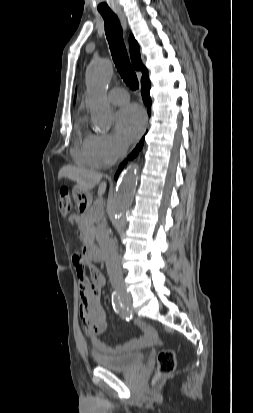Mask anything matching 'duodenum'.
Returning <instances> with one entry per match:
<instances>
[{
  "instance_id": "duodenum-1",
  "label": "duodenum",
  "mask_w": 253,
  "mask_h": 413,
  "mask_svg": "<svg viewBox=\"0 0 253 413\" xmlns=\"http://www.w3.org/2000/svg\"><path fill=\"white\" fill-rule=\"evenodd\" d=\"M84 251H85L86 256L93 261L104 260V254L102 250L96 246L85 245Z\"/></svg>"
}]
</instances>
